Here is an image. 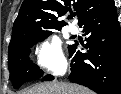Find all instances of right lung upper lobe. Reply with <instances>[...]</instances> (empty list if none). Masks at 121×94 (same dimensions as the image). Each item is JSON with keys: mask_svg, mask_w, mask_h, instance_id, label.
Masks as SVG:
<instances>
[{"mask_svg": "<svg viewBox=\"0 0 121 94\" xmlns=\"http://www.w3.org/2000/svg\"><path fill=\"white\" fill-rule=\"evenodd\" d=\"M111 2L112 0H24L13 25L10 44L30 31L60 30L66 23L59 21L58 17L71 11V8L77 12L79 25Z\"/></svg>", "mask_w": 121, "mask_h": 94, "instance_id": "1", "label": "right lung upper lobe"}]
</instances>
